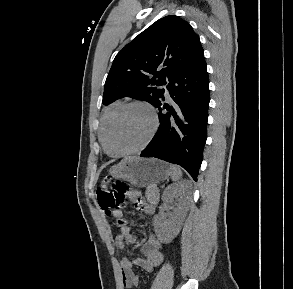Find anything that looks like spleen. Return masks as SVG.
I'll return each mask as SVG.
<instances>
[{
	"instance_id": "3e777b00",
	"label": "spleen",
	"mask_w": 293,
	"mask_h": 289,
	"mask_svg": "<svg viewBox=\"0 0 293 289\" xmlns=\"http://www.w3.org/2000/svg\"><path fill=\"white\" fill-rule=\"evenodd\" d=\"M170 176L173 181H177L182 177L181 169L176 165H170Z\"/></svg>"
}]
</instances>
